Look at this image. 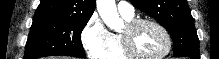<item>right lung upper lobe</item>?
I'll return each instance as SVG.
<instances>
[{
    "label": "right lung upper lobe",
    "mask_w": 219,
    "mask_h": 59,
    "mask_svg": "<svg viewBox=\"0 0 219 59\" xmlns=\"http://www.w3.org/2000/svg\"><path fill=\"white\" fill-rule=\"evenodd\" d=\"M95 10V0H41L34 16L90 18Z\"/></svg>",
    "instance_id": "1"
}]
</instances>
